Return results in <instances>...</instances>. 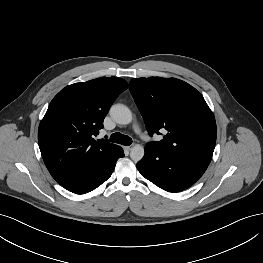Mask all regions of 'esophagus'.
I'll list each match as a JSON object with an SVG mask.
<instances>
[{"mask_svg":"<svg viewBox=\"0 0 263 263\" xmlns=\"http://www.w3.org/2000/svg\"><path fill=\"white\" fill-rule=\"evenodd\" d=\"M125 149H126L127 151H130V150L132 149V146H131V145H130V146H126Z\"/></svg>","mask_w":263,"mask_h":263,"instance_id":"esophagus-1","label":"esophagus"}]
</instances>
